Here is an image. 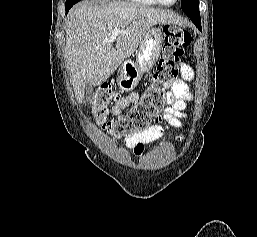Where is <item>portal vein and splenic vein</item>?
<instances>
[{"label": "portal vein and splenic vein", "instance_id": "18ae733b", "mask_svg": "<svg viewBox=\"0 0 257 237\" xmlns=\"http://www.w3.org/2000/svg\"><path fill=\"white\" fill-rule=\"evenodd\" d=\"M121 33H126L125 31L114 29L112 31L111 37L107 40L108 42H114L116 37L121 34Z\"/></svg>", "mask_w": 257, "mask_h": 237}]
</instances>
